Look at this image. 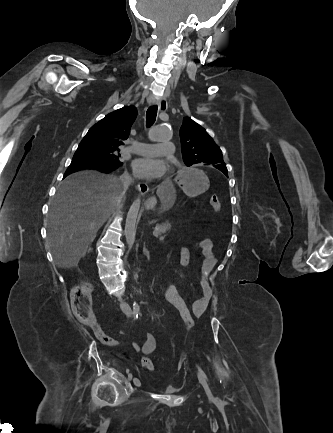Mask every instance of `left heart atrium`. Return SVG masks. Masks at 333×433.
<instances>
[{
	"mask_svg": "<svg viewBox=\"0 0 333 433\" xmlns=\"http://www.w3.org/2000/svg\"><path fill=\"white\" fill-rule=\"evenodd\" d=\"M135 174L142 178L154 179L160 178L166 171L165 164L153 157H140L132 162Z\"/></svg>",
	"mask_w": 333,
	"mask_h": 433,
	"instance_id": "left-heart-atrium-1",
	"label": "left heart atrium"
}]
</instances>
